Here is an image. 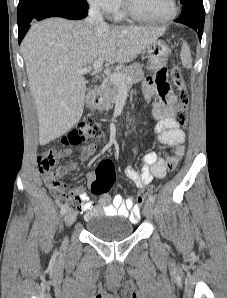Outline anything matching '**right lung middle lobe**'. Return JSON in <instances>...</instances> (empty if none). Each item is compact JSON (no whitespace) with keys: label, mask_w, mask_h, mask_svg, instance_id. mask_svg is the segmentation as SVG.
Listing matches in <instances>:
<instances>
[{"label":"right lung middle lobe","mask_w":227,"mask_h":298,"mask_svg":"<svg viewBox=\"0 0 227 298\" xmlns=\"http://www.w3.org/2000/svg\"><path fill=\"white\" fill-rule=\"evenodd\" d=\"M46 2H62L73 6L88 8L86 0H20L18 4L17 16L30 10L31 8Z\"/></svg>","instance_id":"dd1d6c3e"}]
</instances>
